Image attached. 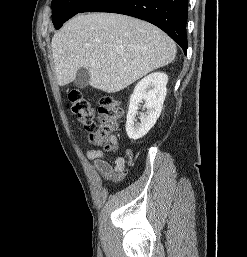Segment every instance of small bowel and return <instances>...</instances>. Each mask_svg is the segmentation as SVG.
Segmentation results:
<instances>
[{
	"label": "small bowel",
	"mask_w": 247,
	"mask_h": 257,
	"mask_svg": "<svg viewBox=\"0 0 247 257\" xmlns=\"http://www.w3.org/2000/svg\"><path fill=\"white\" fill-rule=\"evenodd\" d=\"M112 140L117 146V138L113 137ZM86 155L104 179H112L113 182H119L124 178L126 174V159L124 157H116L110 162L102 150L93 147L87 149Z\"/></svg>",
	"instance_id": "small-bowel-1"
}]
</instances>
